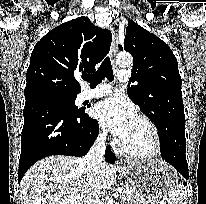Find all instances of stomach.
<instances>
[{
  "mask_svg": "<svg viewBox=\"0 0 206 204\" xmlns=\"http://www.w3.org/2000/svg\"><path fill=\"white\" fill-rule=\"evenodd\" d=\"M128 186L146 201L164 200L178 186L177 172L160 160L134 162L120 171Z\"/></svg>",
  "mask_w": 206,
  "mask_h": 204,
  "instance_id": "obj_1",
  "label": "stomach"
}]
</instances>
